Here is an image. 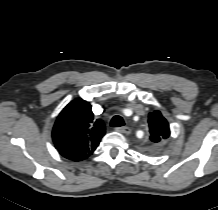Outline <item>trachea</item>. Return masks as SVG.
Here are the masks:
<instances>
[{
  "label": "trachea",
  "mask_w": 218,
  "mask_h": 210,
  "mask_svg": "<svg viewBox=\"0 0 218 210\" xmlns=\"http://www.w3.org/2000/svg\"><path fill=\"white\" fill-rule=\"evenodd\" d=\"M124 120L121 116L116 115L111 119L110 126L111 127H122L124 126Z\"/></svg>",
  "instance_id": "trachea-1"
}]
</instances>
